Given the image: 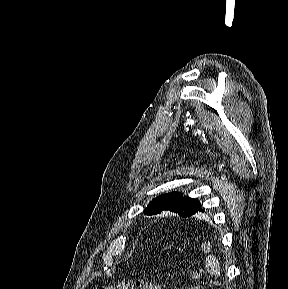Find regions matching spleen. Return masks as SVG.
Listing matches in <instances>:
<instances>
[{
    "mask_svg": "<svg viewBox=\"0 0 288 289\" xmlns=\"http://www.w3.org/2000/svg\"><path fill=\"white\" fill-rule=\"evenodd\" d=\"M205 266L212 274L220 275L219 261L215 256H208L205 260Z\"/></svg>",
    "mask_w": 288,
    "mask_h": 289,
    "instance_id": "spleen-1",
    "label": "spleen"
}]
</instances>
